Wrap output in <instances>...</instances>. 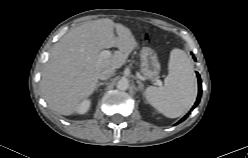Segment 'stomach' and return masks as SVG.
Here are the masks:
<instances>
[{"label":"stomach","mask_w":248,"mask_h":158,"mask_svg":"<svg viewBox=\"0 0 248 158\" xmlns=\"http://www.w3.org/2000/svg\"><path fill=\"white\" fill-rule=\"evenodd\" d=\"M141 73L149 80L154 81L160 73V63L157 54L151 48L141 50Z\"/></svg>","instance_id":"1"}]
</instances>
